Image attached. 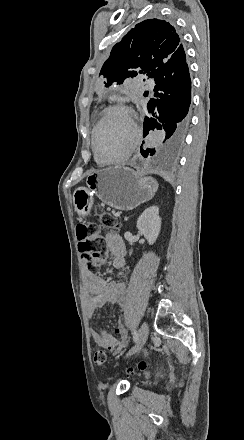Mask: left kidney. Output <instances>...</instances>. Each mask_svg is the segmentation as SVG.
I'll list each match as a JSON object with an SVG mask.
<instances>
[{
  "mask_svg": "<svg viewBox=\"0 0 244 440\" xmlns=\"http://www.w3.org/2000/svg\"><path fill=\"white\" fill-rule=\"evenodd\" d=\"M137 228L150 246L156 242L161 230V218L159 216L158 206H150L144 210L143 214L137 220Z\"/></svg>",
  "mask_w": 244,
  "mask_h": 440,
  "instance_id": "5707ae66",
  "label": "left kidney"
}]
</instances>
